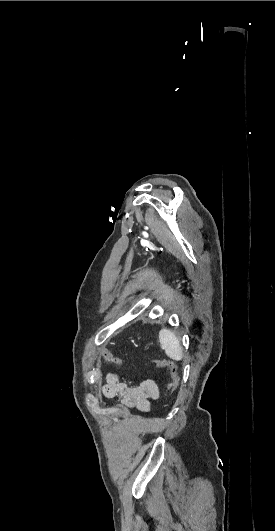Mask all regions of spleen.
Here are the masks:
<instances>
[{
    "label": "spleen",
    "instance_id": "3e777b00",
    "mask_svg": "<svg viewBox=\"0 0 275 531\" xmlns=\"http://www.w3.org/2000/svg\"><path fill=\"white\" fill-rule=\"evenodd\" d=\"M159 343L169 359H173V361H181L183 359L182 347L176 335L170 329H161L159 331Z\"/></svg>",
    "mask_w": 275,
    "mask_h": 531
}]
</instances>
